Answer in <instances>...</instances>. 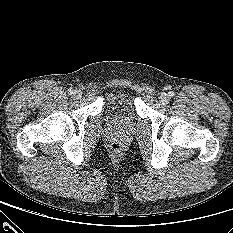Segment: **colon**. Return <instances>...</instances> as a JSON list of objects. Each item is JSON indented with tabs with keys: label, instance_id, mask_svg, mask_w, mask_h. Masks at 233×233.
Returning <instances> with one entry per match:
<instances>
[{
	"label": "colon",
	"instance_id": "obj_1",
	"mask_svg": "<svg viewBox=\"0 0 233 233\" xmlns=\"http://www.w3.org/2000/svg\"><path fill=\"white\" fill-rule=\"evenodd\" d=\"M122 150V147L120 144H117V143H114L111 145V151L114 153V154H119Z\"/></svg>",
	"mask_w": 233,
	"mask_h": 233
}]
</instances>
